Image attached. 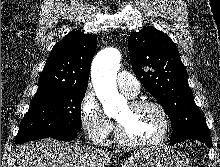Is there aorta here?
<instances>
[{
    "label": "aorta",
    "mask_w": 220,
    "mask_h": 167,
    "mask_svg": "<svg viewBox=\"0 0 220 167\" xmlns=\"http://www.w3.org/2000/svg\"><path fill=\"white\" fill-rule=\"evenodd\" d=\"M121 54L115 48H107L98 53L92 65V82L98 99L107 115H113L126 103L118 93L116 77L120 68Z\"/></svg>",
    "instance_id": "1"
}]
</instances>
